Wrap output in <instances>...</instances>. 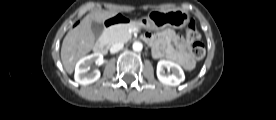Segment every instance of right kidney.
<instances>
[{"mask_svg": "<svg viewBox=\"0 0 276 120\" xmlns=\"http://www.w3.org/2000/svg\"><path fill=\"white\" fill-rule=\"evenodd\" d=\"M95 62L100 65L103 62V55L100 53H94L81 58L75 66L74 79L77 83L82 85H88L94 83L100 78V71L94 70L89 72L90 65Z\"/></svg>", "mask_w": 276, "mask_h": 120, "instance_id": "1", "label": "right kidney"}]
</instances>
